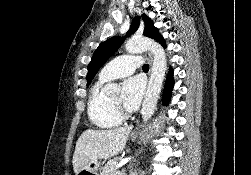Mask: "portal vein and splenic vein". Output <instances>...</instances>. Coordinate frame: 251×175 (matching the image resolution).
Wrapping results in <instances>:
<instances>
[{"mask_svg": "<svg viewBox=\"0 0 251 175\" xmlns=\"http://www.w3.org/2000/svg\"><path fill=\"white\" fill-rule=\"evenodd\" d=\"M129 159H132V157H125V159H121V161H119V163H117L116 167H121V165H124V163H127V161H129Z\"/></svg>", "mask_w": 251, "mask_h": 175, "instance_id": "18ae733b", "label": "portal vein and splenic vein"}]
</instances>
